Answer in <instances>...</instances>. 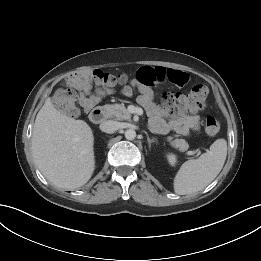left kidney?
<instances>
[{
    "label": "left kidney",
    "mask_w": 261,
    "mask_h": 261,
    "mask_svg": "<svg viewBox=\"0 0 261 261\" xmlns=\"http://www.w3.org/2000/svg\"><path fill=\"white\" fill-rule=\"evenodd\" d=\"M167 160H168V162H169V164L171 166H175L176 165L177 159H176V156L174 154H168L167 155Z\"/></svg>",
    "instance_id": "5707ae66"
}]
</instances>
